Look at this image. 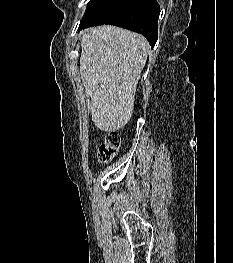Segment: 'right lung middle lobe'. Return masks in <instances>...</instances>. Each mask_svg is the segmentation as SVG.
<instances>
[{
	"label": "right lung middle lobe",
	"instance_id": "dd1d6c3e",
	"mask_svg": "<svg viewBox=\"0 0 233 263\" xmlns=\"http://www.w3.org/2000/svg\"><path fill=\"white\" fill-rule=\"evenodd\" d=\"M128 0H91L82 21L105 22L117 13Z\"/></svg>",
	"mask_w": 233,
	"mask_h": 263
}]
</instances>
